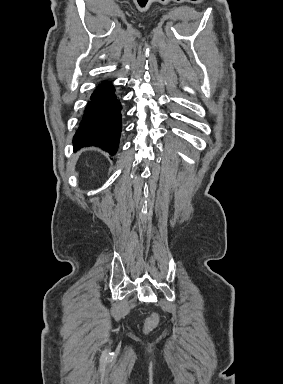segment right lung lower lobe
I'll use <instances>...</instances> for the list:
<instances>
[{
    "label": "right lung lower lobe",
    "instance_id": "1",
    "mask_svg": "<svg viewBox=\"0 0 283 384\" xmlns=\"http://www.w3.org/2000/svg\"><path fill=\"white\" fill-rule=\"evenodd\" d=\"M109 81L97 86L90 97L80 126L74 135V149L97 146L113 155L121 133V103Z\"/></svg>",
    "mask_w": 283,
    "mask_h": 384
}]
</instances>
